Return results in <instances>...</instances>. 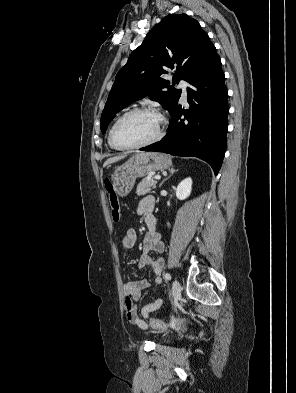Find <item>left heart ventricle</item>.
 <instances>
[{"mask_svg": "<svg viewBox=\"0 0 296 393\" xmlns=\"http://www.w3.org/2000/svg\"><path fill=\"white\" fill-rule=\"evenodd\" d=\"M159 125V119L154 114H133L119 124L115 132V138L121 145L139 144L153 138Z\"/></svg>", "mask_w": 296, "mask_h": 393, "instance_id": "left-heart-ventricle-1", "label": "left heart ventricle"}]
</instances>
